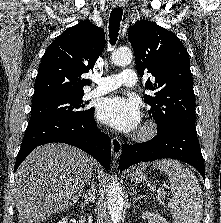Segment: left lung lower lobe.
<instances>
[{
    "label": "left lung lower lobe",
    "mask_w": 221,
    "mask_h": 223,
    "mask_svg": "<svg viewBox=\"0 0 221 223\" xmlns=\"http://www.w3.org/2000/svg\"><path fill=\"white\" fill-rule=\"evenodd\" d=\"M160 158H173L195 167L205 179V165L195 123L177 122L152 140L133 145L124 144L120 157L121 171L129 166Z\"/></svg>",
    "instance_id": "left-lung-lower-lobe-1"
}]
</instances>
